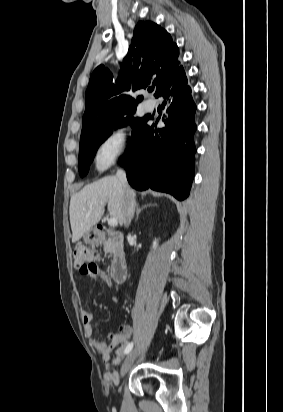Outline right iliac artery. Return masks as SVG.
Wrapping results in <instances>:
<instances>
[{"label": "right iliac artery", "instance_id": "right-iliac-artery-1", "mask_svg": "<svg viewBox=\"0 0 283 412\" xmlns=\"http://www.w3.org/2000/svg\"><path fill=\"white\" fill-rule=\"evenodd\" d=\"M132 348H133V342H131L127 345V347L125 348L124 353L128 354L132 350Z\"/></svg>", "mask_w": 283, "mask_h": 412}]
</instances>
